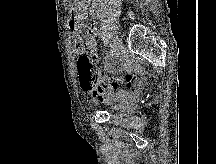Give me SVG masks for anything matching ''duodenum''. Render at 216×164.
<instances>
[{
	"label": "duodenum",
	"mask_w": 216,
	"mask_h": 164,
	"mask_svg": "<svg viewBox=\"0 0 216 164\" xmlns=\"http://www.w3.org/2000/svg\"><path fill=\"white\" fill-rule=\"evenodd\" d=\"M101 0H93L91 6L92 15L98 17L100 15Z\"/></svg>",
	"instance_id": "duodenum-1"
}]
</instances>
